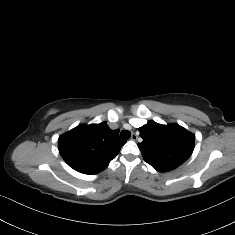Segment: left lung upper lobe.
<instances>
[{
	"instance_id": "obj_1",
	"label": "left lung upper lobe",
	"mask_w": 235,
	"mask_h": 235,
	"mask_svg": "<svg viewBox=\"0 0 235 235\" xmlns=\"http://www.w3.org/2000/svg\"><path fill=\"white\" fill-rule=\"evenodd\" d=\"M143 138L138 147L144 160L152 167L168 166L177 168L194 150V134L178 124L161 125L155 121L139 128Z\"/></svg>"
}]
</instances>
